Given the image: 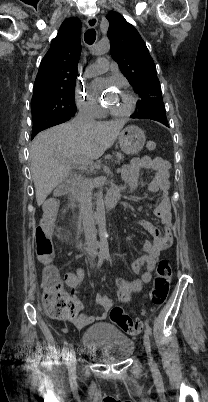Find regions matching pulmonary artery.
I'll list each match as a JSON object with an SVG mask.
<instances>
[{
  "mask_svg": "<svg viewBox=\"0 0 208 402\" xmlns=\"http://www.w3.org/2000/svg\"><path fill=\"white\" fill-rule=\"evenodd\" d=\"M105 61L104 60H99L93 63L92 65L89 66L88 68V73L89 74H100L105 72Z\"/></svg>",
  "mask_w": 208,
  "mask_h": 402,
  "instance_id": "obj_1",
  "label": "pulmonary artery"
}]
</instances>
